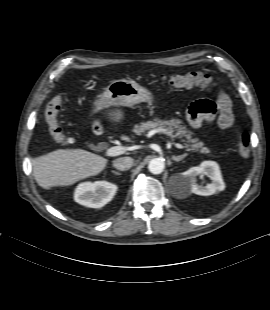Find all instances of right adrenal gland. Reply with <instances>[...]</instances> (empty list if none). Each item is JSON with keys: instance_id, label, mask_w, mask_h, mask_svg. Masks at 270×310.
Instances as JSON below:
<instances>
[{"instance_id": "right-adrenal-gland-1", "label": "right adrenal gland", "mask_w": 270, "mask_h": 310, "mask_svg": "<svg viewBox=\"0 0 270 310\" xmlns=\"http://www.w3.org/2000/svg\"><path fill=\"white\" fill-rule=\"evenodd\" d=\"M112 173H113V174H115V175H118V176H120V175H121V173H120V172H117V171H114V170L112 171Z\"/></svg>"}]
</instances>
